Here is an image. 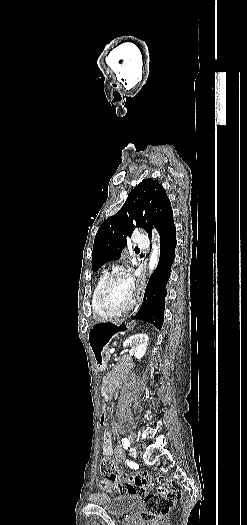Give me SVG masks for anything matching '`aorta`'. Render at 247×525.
<instances>
[{"instance_id": "obj_1", "label": "aorta", "mask_w": 247, "mask_h": 525, "mask_svg": "<svg viewBox=\"0 0 247 525\" xmlns=\"http://www.w3.org/2000/svg\"><path fill=\"white\" fill-rule=\"evenodd\" d=\"M156 242H159V240H158V236L154 234V244H153V249H152V253L150 255V260H149V272L150 273L153 272L159 260L160 247H159V244Z\"/></svg>"}]
</instances>
